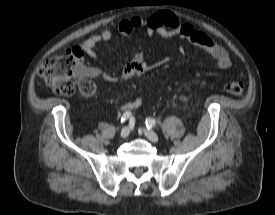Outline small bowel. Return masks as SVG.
I'll list each match as a JSON object with an SVG mask.
<instances>
[{
    "label": "small bowel",
    "mask_w": 275,
    "mask_h": 215,
    "mask_svg": "<svg viewBox=\"0 0 275 215\" xmlns=\"http://www.w3.org/2000/svg\"><path fill=\"white\" fill-rule=\"evenodd\" d=\"M118 32L121 35H129L135 30L145 29L149 35L158 33L163 37L172 35L179 36L182 40L196 44L205 49L213 56L216 63L221 69H229L232 65L231 58L227 51L212 37L199 31L191 23H181L180 20L172 13L159 12L149 17H132L122 19L117 25ZM113 33L110 29H104L99 34H95L82 43V48L90 57H96L95 48L102 42L111 40ZM151 69V65L147 61L143 53H136L131 62L126 64L119 75H114L104 71L101 68H92L85 73L94 77L101 78L107 82L117 80L126 81L129 79L141 77ZM142 105V100L136 98L121 106L122 111L133 110Z\"/></svg>",
    "instance_id": "obj_1"
}]
</instances>
